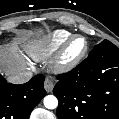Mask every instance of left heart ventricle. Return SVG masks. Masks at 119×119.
I'll list each match as a JSON object with an SVG mask.
<instances>
[{"mask_svg": "<svg viewBox=\"0 0 119 119\" xmlns=\"http://www.w3.org/2000/svg\"><path fill=\"white\" fill-rule=\"evenodd\" d=\"M84 48V41L82 39L74 40L66 51V57L71 59L76 57Z\"/></svg>", "mask_w": 119, "mask_h": 119, "instance_id": "1", "label": "left heart ventricle"}]
</instances>
